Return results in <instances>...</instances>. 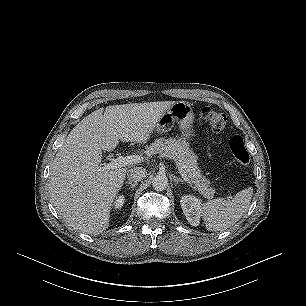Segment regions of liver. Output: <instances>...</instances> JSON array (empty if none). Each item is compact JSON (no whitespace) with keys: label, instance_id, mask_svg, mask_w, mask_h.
I'll use <instances>...</instances> for the list:
<instances>
[{"label":"liver","instance_id":"liver-1","mask_svg":"<svg viewBox=\"0 0 306 306\" xmlns=\"http://www.w3.org/2000/svg\"><path fill=\"white\" fill-rule=\"evenodd\" d=\"M174 103L108 106L92 112L71 130L54 158L48 183L51 201L70 227L91 235L108 228L112 203L130 165L102 166V150H114L119 140L146 143L161 115Z\"/></svg>","mask_w":306,"mask_h":306}]
</instances>
